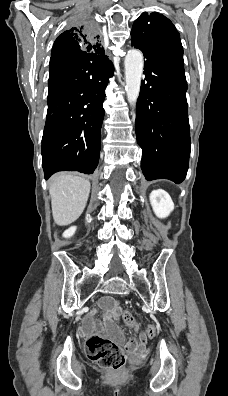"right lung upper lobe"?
<instances>
[{
  "mask_svg": "<svg viewBox=\"0 0 228 396\" xmlns=\"http://www.w3.org/2000/svg\"><path fill=\"white\" fill-rule=\"evenodd\" d=\"M77 53L105 56L99 35L89 27L78 26L63 32L54 42L51 58L69 57Z\"/></svg>",
  "mask_w": 228,
  "mask_h": 396,
  "instance_id": "1",
  "label": "right lung upper lobe"
}]
</instances>
